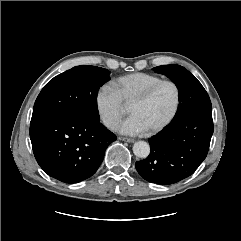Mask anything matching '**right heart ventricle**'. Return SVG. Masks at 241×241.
Masks as SVG:
<instances>
[{
	"instance_id": "obj_1",
	"label": "right heart ventricle",
	"mask_w": 241,
	"mask_h": 241,
	"mask_svg": "<svg viewBox=\"0 0 241 241\" xmlns=\"http://www.w3.org/2000/svg\"><path fill=\"white\" fill-rule=\"evenodd\" d=\"M160 80L162 78L157 75L136 72L117 78L112 83V87L123 104L129 105L137 96Z\"/></svg>"
}]
</instances>
